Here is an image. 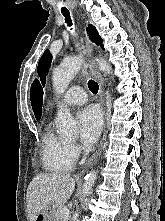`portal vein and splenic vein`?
<instances>
[{
    "label": "portal vein and splenic vein",
    "mask_w": 165,
    "mask_h": 221,
    "mask_svg": "<svg viewBox=\"0 0 165 221\" xmlns=\"http://www.w3.org/2000/svg\"><path fill=\"white\" fill-rule=\"evenodd\" d=\"M60 215L63 219H68L69 217V209L66 208V207H63L61 210H60Z\"/></svg>",
    "instance_id": "18ae733b"
}]
</instances>
